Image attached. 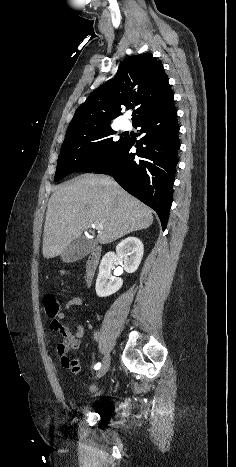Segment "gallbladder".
<instances>
[{
  "mask_svg": "<svg viewBox=\"0 0 236 467\" xmlns=\"http://www.w3.org/2000/svg\"><path fill=\"white\" fill-rule=\"evenodd\" d=\"M93 249V241L85 237L73 240L62 252L61 260L65 263H73L88 255Z\"/></svg>",
  "mask_w": 236,
  "mask_h": 467,
  "instance_id": "obj_1",
  "label": "gallbladder"
}]
</instances>
